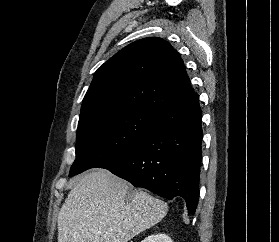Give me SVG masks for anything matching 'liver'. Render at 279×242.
Listing matches in <instances>:
<instances>
[{
  "instance_id": "6515ba94",
  "label": "liver",
  "mask_w": 279,
  "mask_h": 242,
  "mask_svg": "<svg viewBox=\"0 0 279 242\" xmlns=\"http://www.w3.org/2000/svg\"><path fill=\"white\" fill-rule=\"evenodd\" d=\"M58 213V242H127L161 221L164 201L99 169L73 179Z\"/></svg>"
}]
</instances>
